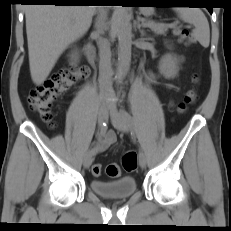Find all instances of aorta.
<instances>
[{
  "label": "aorta",
  "mask_w": 231,
  "mask_h": 231,
  "mask_svg": "<svg viewBox=\"0 0 231 231\" xmlns=\"http://www.w3.org/2000/svg\"><path fill=\"white\" fill-rule=\"evenodd\" d=\"M118 72L119 78L125 77L131 62L132 32L127 7L120 6L118 11Z\"/></svg>",
  "instance_id": "762f6f07"
}]
</instances>
